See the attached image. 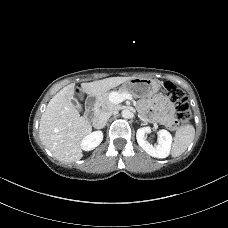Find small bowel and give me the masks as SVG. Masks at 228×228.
I'll return each mask as SVG.
<instances>
[{"label": "small bowel", "instance_id": "c3829d8e", "mask_svg": "<svg viewBox=\"0 0 228 228\" xmlns=\"http://www.w3.org/2000/svg\"><path fill=\"white\" fill-rule=\"evenodd\" d=\"M151 111L152 116L160 120L163 124L168 123L167 115L173 110V105L163 96L158 95L143 106Z\"/></svg>", "mask_w": 228, "mask_h": 228}]
</instances>
